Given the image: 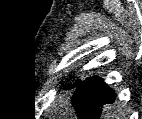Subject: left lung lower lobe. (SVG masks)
Here are the masks:
<instances>
[{"label":"left lung lower lobe","instance_id":"obj_1","mask_svg":"<svg viewBox=\"0 0 142 119\" xmlns=\"http://www.w3.org/2000/svg\"><path fill=\"white\" fill-rule=\"evenodd\" d=\"M116 94L98 77L81 82L73 94V106L80 119H99L103 105L114 103Z\"/></svg>","mask_w":142,"mask_h":119}]
</instances>
